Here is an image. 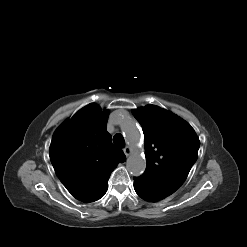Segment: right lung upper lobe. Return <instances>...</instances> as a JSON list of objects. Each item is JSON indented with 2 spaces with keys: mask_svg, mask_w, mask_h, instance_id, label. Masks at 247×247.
Returning a JSON list of instances; mask_svg holds the SVG:
<instances>
[{
  "mask_svg": "<svg viewBox=\"0 0 247 247\" xmlns=\"http://www.w3.org/2000/svg\"><path fill=\"white\" fill-rule=\"evenodd\" d=\"M108 110L96 104L79 110L52 137L49 153L54 170L78 200L94 201L108 187V179L126 157L106 131Z\"/></svg>",
  "mask_w": 247,
  "mask_h": 247,
  "instance_id": "obj_1",
  "label": "right lung upper lobe"
}]
</instances>
